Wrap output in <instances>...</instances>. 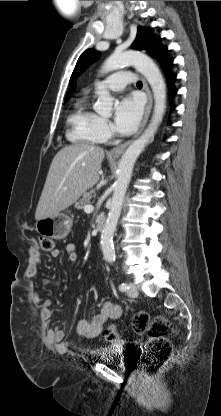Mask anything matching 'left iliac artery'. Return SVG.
Instances as JSON below:
<instances>
[{
  "label": "left iliac artery",
  "instance_id": "1",
  "mask_svg": "<svg viewBox=\"0 0 221 416\" xmlns=\"http://www.w3.org/2000/svg\"><path fill=\"white\" fill-rule=\"evenodd\" d=\"M127 289H129V287H128V285H127L126 283H121V284L119 285V290H120V291L124 292V291H126Z\"/></svg>",
  "mask_w": 221,
  "mask_h": 416
}]
</instances>
